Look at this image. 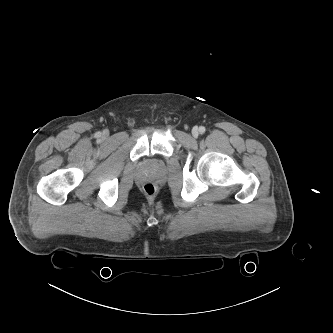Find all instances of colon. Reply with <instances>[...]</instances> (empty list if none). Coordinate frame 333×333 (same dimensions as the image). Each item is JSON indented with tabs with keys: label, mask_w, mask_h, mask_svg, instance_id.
<instances>
[{
	"label": "colon",
	"mask_w": 333,
	"mask_h": 333,
	"mask_svg": "<svg viewBox=\"0 0 333 333\" xmlns=\"http://www.w3.org/2000/svg\"><path fill=\"white\" fill-rule=\"evenodd\" d=\"M143 191L149 199H152L156 194V187L152 183H146L143 187Z\"/></svg>",
	"instance_id": "obj_1"
}]
</instances>
